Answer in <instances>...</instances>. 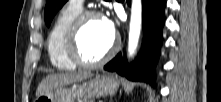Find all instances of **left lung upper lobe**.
<instances>
[{
	"label": "left lung upper lobe",
	"mask_w": 221,
	"mask_h": 102,
	"mask_svg": "<svg viewBox=\"0 0 221 102\" xmlns=\"http://www.w3.org/2000/svg\"><path fill=\"white\" fill-rule=\"evenodd\" d=\"M67 0H47L44 11L45 23L50 25L56 12L66 3Z\"/></svg>",
	"instance_id": "5c2ea615"
}]
</instances>
